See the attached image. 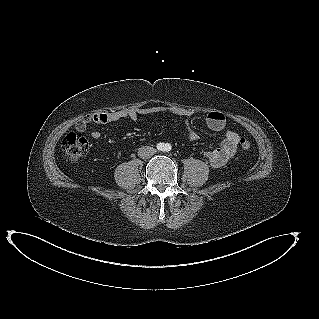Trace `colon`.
Here are the masks:
<instances>
[{
  "label": "colon",
  "mask_w": 319,
  "mask_h": 319,
  "mask_svg": "<svg viewBox=\"0 0 319 319\" xmlns=\"http://www.w3.org/2000/svg\"><path fill=\"white\" fill-rule=\"evenodd\" d=\"M239 144L244 152H250L252 149V143L246 138L240 139ZM88 148L87 139L79 137L75 133L67 134L62 142V150L69 163H76L81 160L87 154Z\"/></svg>",
  "instance_id": "obj_1"
}]
</instances>
